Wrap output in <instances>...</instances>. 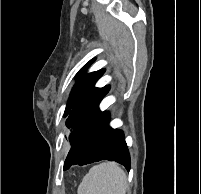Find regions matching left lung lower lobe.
I'll return each instance as SVG.
<instances>
[{
    "mask_svg": "<svg viewBox=\"0 0 201 194\" xmlns=\"http://www.w3.org/2000/svg\"><path fill=\"white\" fill-rule=\"evenodd\" d=\"M107 112H98L91 117L73 136L72 145L64 163V170L79 164L85 165L100 160L116 161L128 171L130 154L121 130L109 126Z\"/></svg>",
    "mask_w": 201,
    "mask_h": 194,
    "instance_id": "left-lung-lower-lobe-1",
    "label": "left lung lower lobe"
}]
</instances>
